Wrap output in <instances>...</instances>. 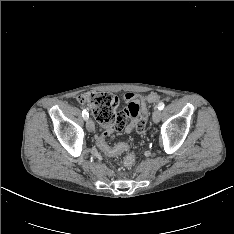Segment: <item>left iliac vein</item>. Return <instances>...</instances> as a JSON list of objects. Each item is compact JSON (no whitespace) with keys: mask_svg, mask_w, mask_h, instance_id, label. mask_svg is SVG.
Returning a JSON list of instances; mask_svg holds the SVG:
<instances>
[{"mask_svg":"<svg viewBox=\"0 0 234 234\" xmlns=\"http://www.w3.org/2000/svg\"><path fill=\"white\" fill-rule=\"evenodd\" d=\"M161 115H162L161 111L156 108L152 115L154 123H158L160 121Z\"/></svg>","mask_w":234,"mask_h":234,"instance_id":"4c4485c4","label":"left iliac vein"}]
</instances>
